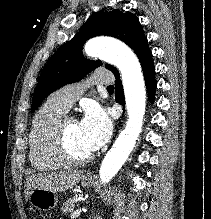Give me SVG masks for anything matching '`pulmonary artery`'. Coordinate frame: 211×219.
<instances>
[{
	"instance_id": "obj_1",
	"label": "pulmonary artery",
	"mask_w": 211,
	"mask_h": 219,
	"mask_svg": "<svg viewBox=\"0 0 211 219\" xmlns=\"http://www.w3.org/2000/svg\"><path fill=\"white\" fill-rule=\"evenodd\" d=\"M113 76L110 72L100 70L87 77L84 83H76L67 85L51 96V100L61 107L68 109L80 97L83 88L87 84H109L112 83Z\"/></svg>"
}]
</instances>
